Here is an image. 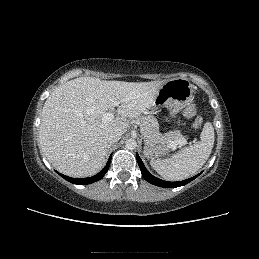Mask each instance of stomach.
Here are the masks:
<instances>
[{
  "label": "stomach",
  "instance_id": "obj_1",
  "mask_svg": "<svg viewBox=\"0 0 259 259\" xmlns=\"http://www.w3.org/2000/svg\"><path fill=\"white\" fill-rule=\"evenodd\" d=\"M193 93L194 87L188 79H171L161 86L151 108L166 107L169 110V116L174 117L189 104ZM168 151V144L149 143L145 141L144 154L149 159H157L164 156Z\"/></svg>",
  "mask_w": 259,
  "mask_h": 259
}]
</instances>
